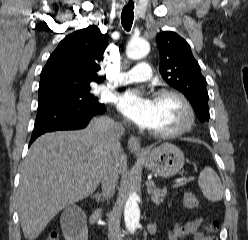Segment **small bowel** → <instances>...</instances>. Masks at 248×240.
<instances>
[{"label":"small bowel","mask_w":248,"mask_h":240,"mask_svg":"<svg viewBox=\"0 0 248 240\" xmlns=\"http://www.w3.org/2000/svg\"><path fill=\"white\" fill-rule=\"evenodd\" d=\"M202 219L197 218L185 223H177L173 231L168 232V240H179L183 237L192 236V240H204L200 231Z\"/></svg>","instance_id":"c3829d8e"}]
</instances>
